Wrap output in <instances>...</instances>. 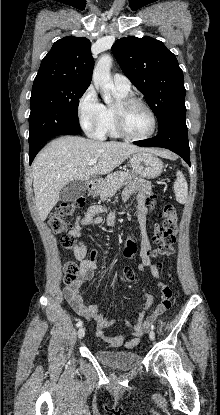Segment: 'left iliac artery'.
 <instances>
[{
    "instance_id": "obj_1",
    "label": "left iliac artery",
    "mask_w": 220,
    "mask_h": 415,
    "mask_svg": "<svg viewBox=\"0 0 220 415\" xmlns=\"http://www.w3.org/2000/svg\"><path fill=\"white\" fill-rule=\"evenodd\" d=\"M151 329H152V330H154V329H155V327H154V325H153V324H151Z\"/></svg>"
}]
</instances>
